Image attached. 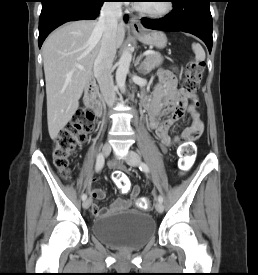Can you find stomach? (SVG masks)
Segmentation results:
<instances>
[{"label": "stomach", "mask_w": 258, "mask_h": 275, "mask_svg": "<svg viewBox=\"0 0 258 275\" xmlns=\"http://www.w3.org/2000/svg\"><path fill=\"white\" fill-rule=\"evenodd\" d=\"M134 35L145 45L162 49L166 46L167 37L162 31H135Z\"/></svg>", "instance_id": "obj_1"}]
</instances>
